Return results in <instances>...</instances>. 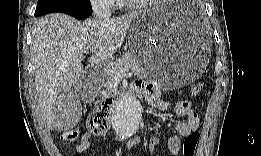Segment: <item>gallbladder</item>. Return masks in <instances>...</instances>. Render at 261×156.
<instances>
[{
  "instance_id": "bac80fb5",
  "label": "gallbladder",
  "mask_w": 261,
  "mask_h": 156,
  "mask_svg": "<svg viewBox=\"0 0 261 156\" xmlns=\"http://www.w3.org/2000/svg\"><path fill=\"white\" fill-rule=\"evenodd\" d=\"M72 93H63L61 94L60 101L58 104L53 105L56 107L54 113H52V118L54 119L53 127H56L58 130H68L72 129L79 120L81 116L82 105L81 101L78 98V93L73 91H66Z\"/></svg>"
}]
</instances>
